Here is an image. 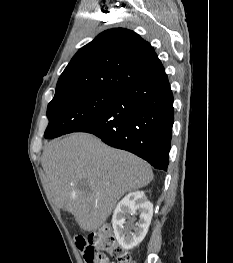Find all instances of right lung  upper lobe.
<instances>
[{
	"label": "right lung upper lobe",
	"instance_id": "cb5924a9",
	"mask_svg": "<svg viewBox=\"0 0 233 263\" xmlns=\"http://www.w3.org/2000/svg\"><path fill=\"white\" fill-rule=\"evenodd\" d=\"M164 72L147 41L128 29H109L75 54L58 80L55 96L81 90L119 92Z\"/></svg>",
	"mask_w": 233,
	"mask_h": 263
}]
</instances>
